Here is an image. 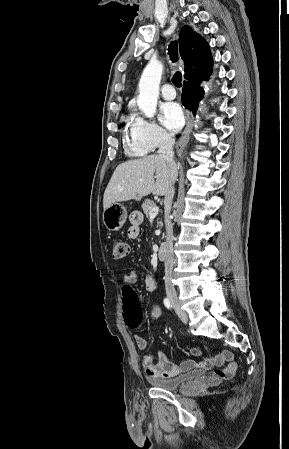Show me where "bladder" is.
Instances as JSON below:
<instances>
[{"mask_svg":"<svg viewBox=\"0 0 289 449\" xmlns=\"http://www.w3.org/2000/svg\"><path fill=\"white\" fill-rule=\"evenodd\" d=\"M203 370H193L176 377H150L149 382L160 389L167 391H177L186 385L197 382L205 377Z\"/></svg>","mask_w":289,"mask_h":449,"instance_id":"1","label":"bladder"}]
</instances>
